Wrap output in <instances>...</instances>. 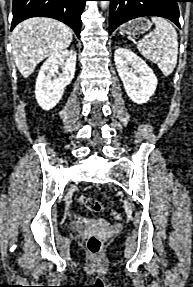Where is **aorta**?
<instances>
[{"instance_id":"762f6f07","label":"aorta","mask_w":193,"mask_h":287,"mask_svg":"<svg viewBox=\"0 0 193 287\" xmlns=\"http://www.w3.org/2000/svg\"><path fill=\"white\" fill-rule=\"evenodd\" d=\"M108 5H109L108 1H100L101 8L105 9V8H107Z\"/></svg>"}]
</instances>
